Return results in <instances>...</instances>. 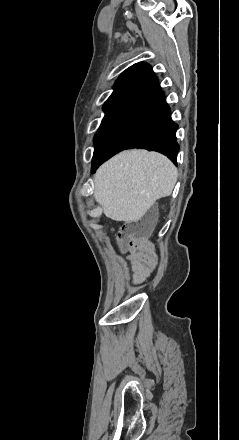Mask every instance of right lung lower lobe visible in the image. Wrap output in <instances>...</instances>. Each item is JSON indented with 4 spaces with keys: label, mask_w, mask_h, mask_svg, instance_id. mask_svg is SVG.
Segmentation results:
<instances>
[{
    "label": "right lung lower lobe",
    "mask_w": 239,
    "mask_h": 440,
    "mask_svg": "<svg viewBox=\"0 0 239 440\" xmlns=\"http://www.w3.org/2000/svg\"><path fill=\"white\" fill-rule=\"evenodd\" d=\"M178 126L159 85L127 105L115 125L94 152L92 172L104 161L129 148L157 151L176 164Z\"/></svg>",
    "instance_id": "98d812e1"
}]
</instances>
